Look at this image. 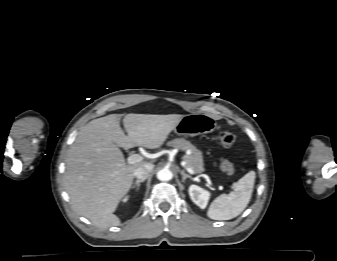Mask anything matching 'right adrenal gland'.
<instances>
[{"label": "right adrenal gland", "mask_w": 337, "mask_h": 261, "mask_svg": "<svg viewBox=\"0 0 337 261\" xmlns=\"http://www.w3.org/2000/svg\"><path fill=\"white\" fill-rule=\"evenodd\" d=\"M145 181V179H138V180H136L134 183H133V185H132V188H135V187H137V191L139 190V187H140V183H142V182H144Z\"/></svg>", "instance_id": "right-adrenal-gland-1"}]
</instances>
